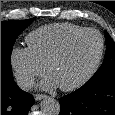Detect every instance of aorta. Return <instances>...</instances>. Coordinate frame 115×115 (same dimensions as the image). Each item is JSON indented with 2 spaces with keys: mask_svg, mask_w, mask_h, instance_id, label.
I'll list each match as a JSON object with an SVG mask.
<instances>
[{
  "mask_svg": "<svg viewBox=\"0 0 115 115\" xmlns=\"http://www.w3.org/2000/svg\"><path fill=\"white\" fill-rule=\"evenodd\" d=\"M40 106L44 115H59L60 113V104L54 98L45 97L41 101Z\"/></svg>",
  "mask_w": 115,
  "mask_h": 115,
  "instance_id": "1",
  "label": "aorta"
}]
</instances>
